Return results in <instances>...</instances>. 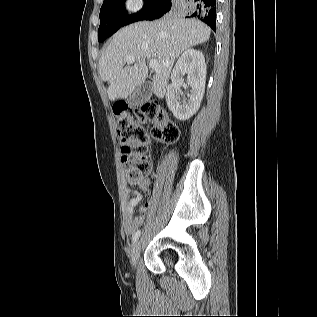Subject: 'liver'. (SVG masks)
<instances>
[{"mask_svg":"<svg viewBox=\"0 0 317 317\" xmlns=\"http://www.w3.org/2000/svg\"><path fill=\"white\" fill-rule=\"evenodd\" d=\"M210 33L211 29L201 21L172 14L122 28L104 48L99 60L101 79L109 84V99H126L145 82L146 59L158 61L152 89L158 98H163L176 58L184 50L209 40ZM128 55H133L135 62L125 66Z\"/></svg>","mask_w":317,"mask_h":317,"instance_id":"1","label":"liver"}]
</instances>
